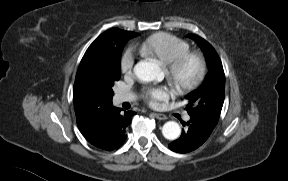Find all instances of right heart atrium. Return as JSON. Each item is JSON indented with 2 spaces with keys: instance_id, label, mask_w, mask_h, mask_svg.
Instances as JSON below:
<instances>
[{
  "instance_id": "obj_1",
  "label": "right heart atrium",
  "mask_w": 288,
  "mask_h": 181,
  "mask_svg": "<svg viewBox=\"0 0 288 181\" xmlns=\"http://www.w3.org/2000/svg\"><path fill=\"white\" fill-rule=\"evenodd\" d=\"M135 65V54L132 48L125 50L121 57L120 69L125 75H131Z\"/></svg>"
}]
</instances>
